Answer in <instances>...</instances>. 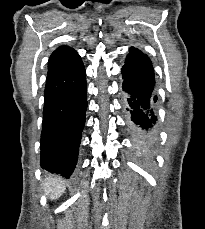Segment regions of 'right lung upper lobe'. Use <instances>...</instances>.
I'll return each instance as SVG.
<instances>
[{
	"instance_id": "cb5924a9",
	"label": "right lung upper lobe",
	"mask_w": 205,
	"mask_h": 229,
	"mask_svg": "<svg viewBox=\"0 0 205 229\" xmlns=\"http://www.w3.org/2000/svg\"><path fill=\"white\" fill-rule=\"evenodd\" d=\"M56 51L64 56H67L69 64L76 63L81 59L74 49L67 46H61L56 49Z\"/></svg>"
}]
</instances>
